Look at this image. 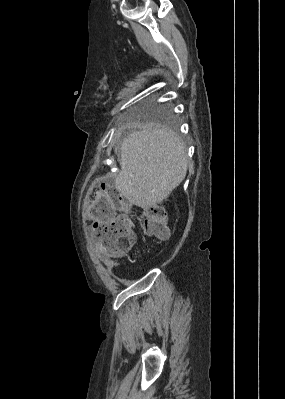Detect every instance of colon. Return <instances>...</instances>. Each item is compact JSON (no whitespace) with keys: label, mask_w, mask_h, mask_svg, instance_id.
<instances>
[{"label":"colon","mask_w":285,"mask_h":399,"mask_svg":"<svg viewBox=\"0 0 285 399\" xmlns=\"http://www.w3.org/2000/svg\"><path fill=\"white\" fill-rule=\"evenodd\" d=\"M121 205L117 190L108 183H103L86 202V212L94 221V238L104 251L117 257L132 251L135 245L134 217L145 231L157 237H167L168 217L163 207L140 208L131 216L116 212Z\"/></svg>","instance_id":"obj_1"}]
</instances>
